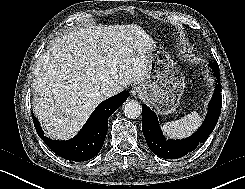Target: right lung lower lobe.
Wrapping results in <instances>:
<instances>
[{
	"label": "right lung lower lobe",
	"instance_id": "98d812e1",
	"mask_svg": "<svg viewBox=\"0 0 245 189\" xmlns=\"http://www.w3.org/2000/svg\"><path fill=\"white\" fill-rule=\"evenodd\" d=\"M128 96L129 92L123 91L103 101L91 114L80 132L70 140H51L44 136L34 115H32L33 122L40 138L56 154L66 160L87 161L95 157L102 149L108 130V118L125 102Z\"/></svg>",
	"mask_w": 245,
	"mask_h": 189
}]
</instances>
